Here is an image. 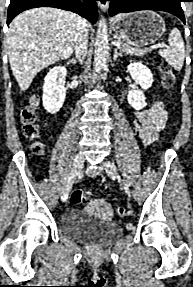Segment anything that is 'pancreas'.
<instances>
[{"label": "pancreas", "instance_id": "pancreas-1", "mask_svg": "<svg viewBox=\"0 0 193 287\" xmlns=\"http://www.w3.org/2000/svg\"><path fill=\"white\" fill-rule=\"evenodd\" d=\"M121 43V47H119L121 52L130 53L135 56H144L150 52L149 49H139L138 47H132L127 42L122 39L118 40Z\"/></svg>", "mask_w": 193, "mask_h": 287}]
</instances>
